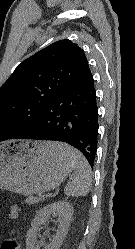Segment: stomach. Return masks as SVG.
I'll return each mask as SVG.
<instances>
[{"instance_id":"0dacf381","label":"stomach","mask_w":135,"mask_h":249,"mask_svg":"<svg viewBox=\"0 0 135 249\" xmlns=\"http://www.w3.org/2000/svg\"><path fill=\"white\" fill-rule=\"evenodd\" d=\"M52 143L26 140L0 145V188L22 195L57 188L73 167Z\"/></svg>"}]
</instances>
